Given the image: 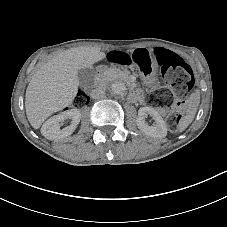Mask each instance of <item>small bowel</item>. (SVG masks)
<instances>
[{
    "label": "small bowel",
    "mask_w": 227,
    "mask_h": 227,
    "mask_svg": "<svg viewBox=\"0 0 227 227\" xmlns=\"http://www.w3.org/2000/svg\"><path fill=\"white\" fill-rule=\"evenodd\" d=\"M134 51L141 52V53L145 54L146 56H148L149 58L154 59L155 50H148V49L141 48V49H136Z\"/></svg>",
    "instance_id": "1"
}]
</instances>
